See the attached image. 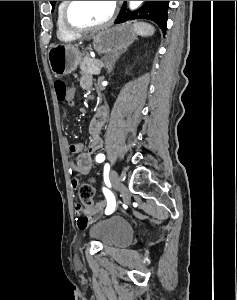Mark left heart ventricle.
<instances>
[{
	"mask_svg": "<svg viewBox=\"0 0 237 300\" xmlns=\"http://www.w3.org/2000/svg\"><path fill=\"white\" fill-rule=\"evenodd\" d=\"M113 1H75L70 10V21L78 27L97 25L109 18Z\"/></svg>",
	"mask_w": 237,
	"mask_h": 300,
	"instance_id": "1",
	"label": "left heart ventricle"
}]
</instances>
